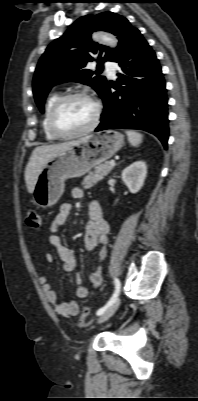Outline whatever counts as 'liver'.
<instances>
[{
  "label": "liver",
  "mask_w": 198,
  "mask_h": 401,
  "mask_svg": "<svg viewBox=\"0 0 198 401\" xmlns=\"http://www.w3.org/2000/svg\"><path fill=\"white\" fill-rule=\"evenodd\" d=\"M80 141L81 139L36 147L33 150L25 169V182L28 192H34L37 178L50 159L59 155L69 147L78 144Z\"/></svg>",
  "instance_id": "1"
}]
</instances>
